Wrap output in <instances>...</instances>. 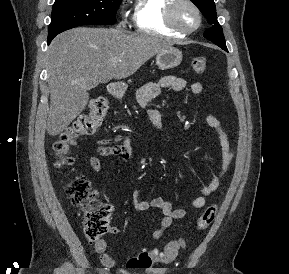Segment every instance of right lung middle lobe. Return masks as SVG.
I'll use <instances>...</instances> for the list:
<instances>
[{
    "instance_id": "dd1d6c3e",
    "label": "right lung middle lobe",
    "mask_w": 289,
    "mask_h": 274,
    "mask_svg": "<svg viewBox=\"0 0 289 274\" xmlns=\"http://www.w3.org/2000/svg\"><path fill=\"white\" fill-rule=\"evenodd\" d=\"M120 3L121 0H55L48 43L57 34L80 25L114 24Z\"/></svg>"
}]
</instances>
